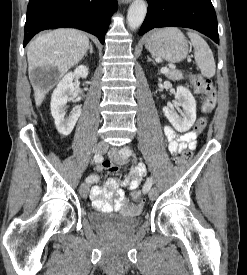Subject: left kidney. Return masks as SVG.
<instances>
[{
    "instance_id": "left-kidney-1",
    "label": "left kidney",
    "mask_w": 247,
    "mask_h": 275,
    "mask_svg": "<svg viewBox=\"0 0 247 275\" xmlns=\"http://www.w3.org/2000/svg\"><path fill=\"white\" fill-rule=\"evenodd\" d=\"M173 105L182 107L181 115L174 111ZM163 113L177 131L186 132L196 120V101L188 89L178 86L174 103L163 107Z\"/></svg>"
}]
</instances>
